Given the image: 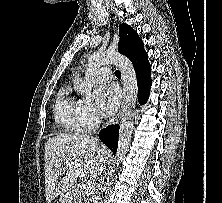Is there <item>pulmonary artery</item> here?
<instances>
[{
    "instance_id": "e3ab8cb5",
    "label": "pulmonary artery",
    "mask_w": 222,
    "mask_h": 203,
    "mask_svg": "<svg viewBox=\"0 0 222 203\" xmlns=\"http://www.w3.org/2000/svg\"><path fill=\"white\" fill-rule=\"evenodd\" d=\"M112 74L108 67L99 68L95 73L96 81L100 83H107L111 80Z\"/></svg>"
}]
</instances>
